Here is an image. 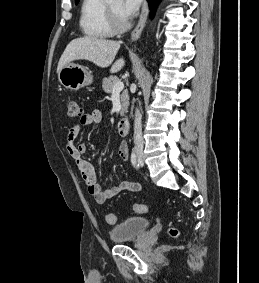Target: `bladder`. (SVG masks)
Wrapping results in <instances>:
<instances>
[{"label":"bladder","instance_id":"bladder-1","mask_svg":"<svg viewBox=\"0 0 259 283\" xmlns=\"http://www.w3.org/2000/svg\"><path fill=\"white\" fill-rule=\"evenodd\" d=\"M150 227V221L143 217H129L116 224L111 230L114 242H122L138 237Z\"/></svg>","mask_w":259,"mask_h":283}]
</instances>
